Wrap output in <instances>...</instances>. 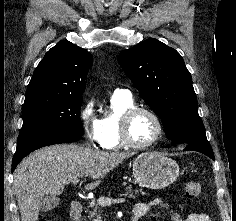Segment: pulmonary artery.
I'll return each instance as SVG.
<instances>
[{
    "label": "pulmonary artery",
    "instance_id": "pulmonary-artery-1",
    "mask_svg": "<svg viewBox=\"0 0 236 221\" xmlns=\"http://www.w3.org/2000/svg\"><path fill=\"white\" fill-rule=\"evenodd\" d=\"M113 95L131 97V92L128 89L117 88Z\"/></svg>",
    "mask_w": 236,
    "mask_h": 221
}]
</instances>
